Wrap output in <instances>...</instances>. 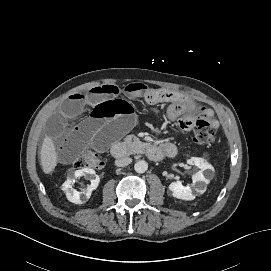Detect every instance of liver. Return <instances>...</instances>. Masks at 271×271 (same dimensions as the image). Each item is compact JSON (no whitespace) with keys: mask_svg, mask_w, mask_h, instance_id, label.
<instances>
[{"mask_svg":"<svg viewBox=\"0 0 271 271\" xmlns=\"http://www.w3.org/2000/svg\"><path fill=\"white\" fill-rule=\"evenodd\" d=\"M40 158L42 170L45 174L51 173L57 166L58 156L56 148L53 140L49 136L44 137L40 151Z\"/></svg>","mask_w":271,"mask_h":271,"instance_id":"6515ba94","label":"liver"}]
</instances>
